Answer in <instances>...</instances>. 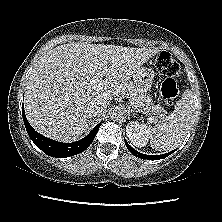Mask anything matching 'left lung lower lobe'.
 I'll use <instances>...</instances> for the list:
<instances>
[{"label": "left lung lower lobe", "instance_id": "left-lung-lower-lobe-1", "mask_svg": "<svg viewBox=\"0 0 222 222\" xmlns=\"http://www.w3.org/2000/svg\"><path fill=\"white\" fill-rule=\"evenodd\" d=\"M125 144L133 155H135L139 158H142V159H149V160H158V159L165 158L175 151V150H173L169 153L162 154V155H146V154H142V153L136 151L135 149H133L126 141H125Z\"/></svg>", "mask_w": 222, "mask_h": 222}]
</instances>
